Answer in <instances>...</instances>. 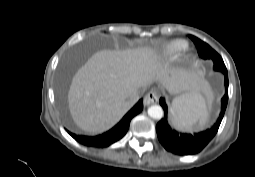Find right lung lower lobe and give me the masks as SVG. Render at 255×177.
Listing matches in <instances>:
<instances>
[{
  "instance_id": "1",
  "label": "right lung lower lobe",
  "mask_w": 255,
  "mask_h": 177,
  "mask_svg": "<svg viewBox=\"0 0 255 177\" xmlns=\"http://www.w3.org/2000/svg\"><path fill=\"white\" fill-rule=\"evenodd\" d=\"M143 109V100L137 104L122 118L111 130L94 137L75 135L68 132L76 141L88 147L104 148L120 140L128 131L131 119Z\"/></svg>"
}]
</instances>
